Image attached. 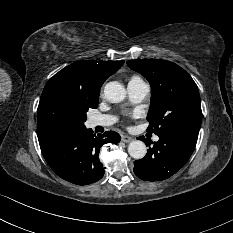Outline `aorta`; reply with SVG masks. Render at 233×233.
I'll return each mask as SVG.
<instances>
[{
    "mask_svg": "<svg viewBox=\"0 0 233 233\" xmlns=\"http://www.w3.org/2000/svg\"><path fill=\"white\" fill-rule=\"evenodd\" d=\"M104 94L111 103H118L123 101L126 96L124 86L118 82H109L105 85ZM128 153L134 159H142L147 153V148L144 142L140 140L132 141L128 146Z\"/></svg>",
    "mask_w": 233,
    "mask_h": 233,
    "instance_id": "762f6f07",
    "label": "aorta"
}]
</instances>
